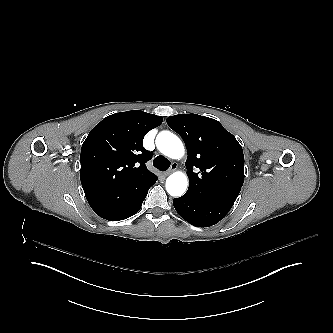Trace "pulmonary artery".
Masks as SVG:
<instances>
[{"label": "pulmonary artery", "instance_id": "obj_1", "mask_svg": "<svg viewBox=\"0 0 333 333\" xmlns=\"http://www.w3.org/2000/svg\"><path fill=\"white\" fill-rule=\"evenodd\" d=\"M186 170L189 172L191 169L188 167Z\"/></svg>", "mask_w": 333, "mask_h": 333}]
</instances>
